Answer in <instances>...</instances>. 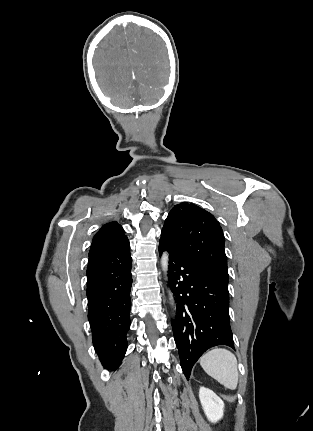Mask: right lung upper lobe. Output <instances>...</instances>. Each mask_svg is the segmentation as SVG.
Here are the masks:
<instances>
[{"label":"right lung upper lobe","instance_id":"cb5924a9","mask_svg":"<svg viewBox=\"0 0 313 431\" xmlns=\"http://www.w3.org/2000/svg\"><path fill=\"white\" fill-rule=\"evenodd\" d=\"M127 240L121 225L115 221L107 223L103 225L94 236L89 251V257L111 249Z\"/></svg>","mask_w":313,"mask_h":431}]
</instances>
